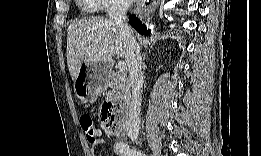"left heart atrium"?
<instances>
[{"mask_svg": "<svg viewBox=\"0 0 261 156\" xmlns=\"http://www.w3.org/2000/svg\"><path fill=\"white\" fill-rule=\"evenodd\" d=\"M138 4L141 6V2H138Z\"/></svg>", "mask_w": 261, "mask_h": 156, "instance_id": "obj_1", "label": "left heart atrium"}]
</instances>
